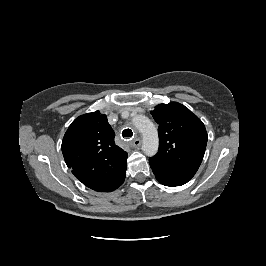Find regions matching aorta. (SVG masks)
Instances as JSON below:
<instances>
[{"instance_id": "aorta-1", "label": "aorta", "mask_w": 266, "mask_h": 266, "mask_svg": "<svg viewBox=\"0 0 266 266\" xmlns=\"http://www.w3.org/2000/svg\"><path fill=\"white\" fill-rule=\"evenodd\" d=\"M134 126L142 134V150L145 155H155L159 147L158 132L153 122L144 115H136L133 118Z\"/></svg>"}]
</instances>
